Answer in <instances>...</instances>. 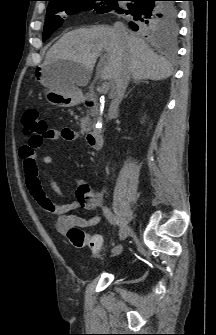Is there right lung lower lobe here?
Returning a JSON list of instances; mask_svg holds the SVG:
<instances>
[{"instance_id": "1", "label": "right lung lower lobe", "mask_w": 216, "mask_h": 335, "mask_svg": "<svg viewBox=\"0 0 216 335\" xmlns=\"http://www.w3.org/2000/svg\"><path fill=\"white\" fill-rule=\"evenodd\" d=\"M127 1L120 3L114 11L129 15L130 26L134 30H145L146 28L159 25L160 31L172 29L177 26L176 8H169L166 2L170 0H120ZM131 17V18H129Z\"/></svg>"}]
</instances>
